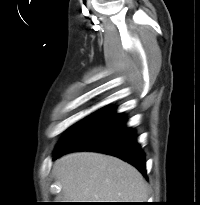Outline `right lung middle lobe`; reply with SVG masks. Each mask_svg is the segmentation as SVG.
Segmentation results:
<instances>
[{"label":"right lung middle lobe","mask_w":200,"mask_h":205,"mask_svg":"<svg viewBox=\"0 0 200 205\" xmlns=\"http://www.w3.org/2000/svg\"><path fill=\"white\" fill-rule=\"evenodd\" d=\"M110 109L106 108L101 110L100 112H98L97 114L91 116L90 118L81 121L75 125H73L66 133L65 135L62 137V139L60 140L59 144L57 145V148H60L64 145H66L69 141H71L75 136H77L81 131H83L86 127H88L90 124H92L95 120H97L98 118H100L102 115H104L105 113H107Z\"/></svg>","instance_id":"dd1d6c3e"}]
</instances>
